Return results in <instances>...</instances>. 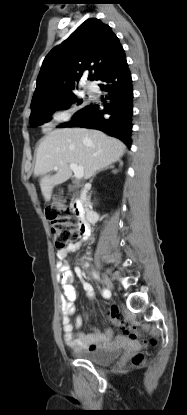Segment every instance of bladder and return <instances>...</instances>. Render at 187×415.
<instances>
[{"label":"bladder","mask_w":187,"mask_h":415,"mask_svg":"<svg viewBox=\"0 0 187 415\" xmlns=\"http://www.w3.org/2000/svg\"><path fill=\"white\" fill-rule=\"evenodd\" d=\"M122 351L123 349L121 347H116L92 351L77 350L74 354L78 358L89 361L93 364L105 366L114 363L119 358Z\"/></svg>","instance_id":"bladder-1"}]
</instances>
